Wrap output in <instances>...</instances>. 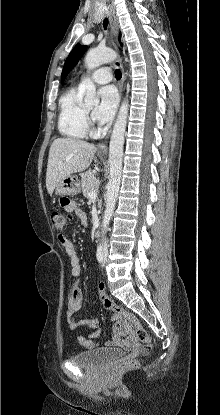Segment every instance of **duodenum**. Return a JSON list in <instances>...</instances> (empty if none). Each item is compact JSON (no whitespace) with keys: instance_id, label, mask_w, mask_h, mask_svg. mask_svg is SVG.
Here are the masks:
<instances>
[{"instance_id":"1","label":"duodenum","mask_w":220,"mask_h":415,"mask_svg":"<svg viewBox=\"0 0 220 415\" xmlns=\"http://www.w3.org/2000/svg\"><path fill=\"white\" fill-rule=\"evenodd\" d=\"M94 236L96 238H99L101 236V229L99 226L94 230Z\"/></svg>"}]
</instances>
